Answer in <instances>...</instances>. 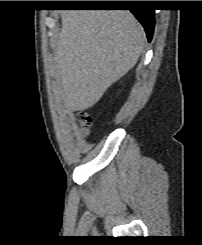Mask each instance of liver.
I'll list each match as a JSON object with an SVG mask.
<instances>
[{
    "mask_svg": "<svg viewBox=\"0 0 202 245\" xmlns=\"http://www.w3.org/2000/svg\"><path fill=\"white\" fill-rule=\"evenodd\" d=\"M61 22L55 42L61 98L69 110H86L135 66L145 32L127 10H70Z\"/></svg>",
    "mask_w": 202,
    "mask_h": 245,
    "instance_id": "1",
    "label": "liver"
}]
</instances>
